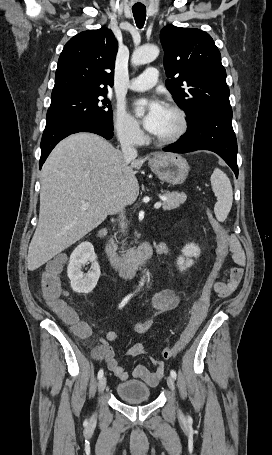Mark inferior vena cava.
<instances>
[{
  "label": "inferior vena cava",
  "mask_w": 272,
  "mask_h": 455,
  "mask_svg": "<svg viewBox=\"0 0 272 455\" xmlns=\"http://www.w3.org/2000/svg\"><path fill=\"white\" fill-rule=\"evenodd\" d=\"M120 143H121V149H122V154L124 157V161L126 163H129L132 159L137 157V150L132 144V141L125 136L120 137ZM120 217L122 218V221L120 222V226L123 228L125 226L124 222V212L123 209L120 210Z\"/></svg>",
  "instance_id": "602c4592"
}]
</instances>
